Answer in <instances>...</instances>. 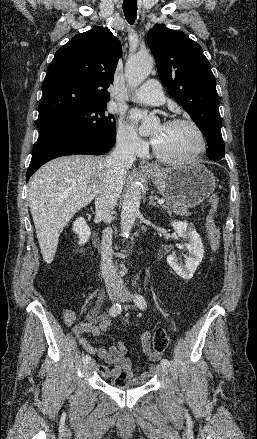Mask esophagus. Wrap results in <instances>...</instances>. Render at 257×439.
Listing matches in <instances>:
<instances>
[{"label":"esophagus","instance_id":"obj_1","mask_svg":"<svg viewBox=\"0 0 257 439\" xmlns=\"http://www.w3.org/2000/svg\"><path fill=\"white\" fill-rule=\"evenodd\" d=\"M140 166L143 170H147V171H151L155 169V167L152 164L144 160L140 162Z\"/></svg>","mask_w":257,"mask_h":439}]
</instances>
